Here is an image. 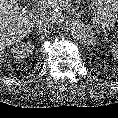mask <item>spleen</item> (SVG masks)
<instances>
[{
    "label": "spleen",
    "instance_id": "obj_1",
    "mask_svg": "<svg viewBox=\"0 0 118 118\" xmlns=\"http://www.w3.org/2000/svg\"><path fill=\"white\" fill-rule=\"evenodd\" d=\"M112 56H113L114 60L118 62V45H115L112 48Z\"/></svg>",
    "mask_w": 118,
    "mask_h": 118
}]
</instances>
